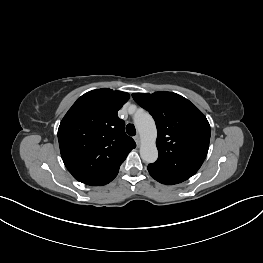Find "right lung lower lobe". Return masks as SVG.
<instances>
[{
    "label": "right lung lower lobe",
    "instance_id": "98d812e1",
    "mask_svg": "<svg viewBox=\"0 0 263 263\" xmlns=\"http://www.w3.org/2000/svg\"><path fill=\"white\" fill-rule=\"evenodd\" d=\"M118 172H116L114 175H112L111 177L103 180V181H100V182H96V183H92V184H88V185H104V184H107L109 182H111L117 175Z\"/></svg>",
    "mask_w": 263,
    "mask_h": 263
}]
</instances>
